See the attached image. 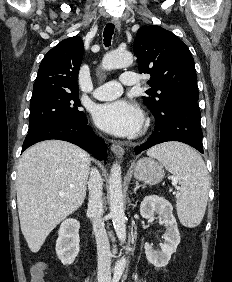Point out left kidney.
<instances>
[{"label":"left kidney","mask_w":232,"mask_h":282,"mask_svg":"<svg viewBox=\"0 0 232 282\" xmlns=\"http://www.w3.org/2000/svg\"><path fill=\"white\" fill-rule=\"evenodd\" d=\"M173 207L165 198L150 195L146 196L140 205V214L143 218L150 219L158 214L162 217L166 226L164 234L165 243L161 247V251H155L149 243H145V254L148 261L157 268L164 267L171 259V255L176 252L180 243V233L173 216Z\"/></svg>","instance_id":"1"}]
</instances>
